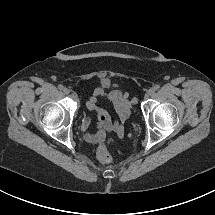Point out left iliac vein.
I'll use <instances>...</instances> for the list:
<instances>
[{
    "label": "left iliac vein",
    "instance_id": "1",
    "mask_svg": "<svg viewBox=\"0 0 215 215\" xmlns=\"http://www.w3.org/2000/svg\"><path fill=\"white\" fill-rule=\"evenodd\" d=\"M153 93H154V89H153V88H150V89L147 91L146 96L149 97V96H151Z\"/></svg>",
    "mask_w": 215,
    "mask_h": 215
}]
</instances>
